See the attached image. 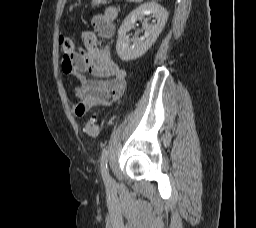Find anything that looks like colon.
<instances>
[{
	"instance_id": "colon-1",
	"label": "colon",
	"mask_w": 256,
	"mask_h": 228,
	"mask_svg": "<svg viewBox=\"0 0 256 228\" xmlns=\"http://www.w3.org/2000/svg\"><path fill=\"white\" fill-rule=\"evenodd\" d=\"M111 0H92L91 6L96 8L102 4L108 3ZM60 45L63 52L67 56H72L75 53V46L72 40L68 37H60ZM85 133L90 137H97L99 135V126L97 124V119L95 116H91L85 124Z\"/></svg>"
}]
</instances>
